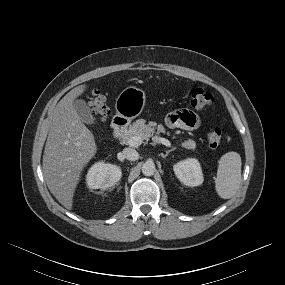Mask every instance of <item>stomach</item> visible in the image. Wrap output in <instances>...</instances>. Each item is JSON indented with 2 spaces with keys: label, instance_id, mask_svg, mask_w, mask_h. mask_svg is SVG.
I'll list each match as a JSON object with an SVG mask.
<instances>
[{
  "label": "stomach",
  "instance_id": "1",
  "mask_svg": "<svg viewBox=\"0 0 285 285\" xmlns=\"http://www.w3.org/2000/svg\"><path fill=\"white\" fill-rule=\"evenodd\" d=\"M145 103V92L137 87L129 86L116 99V114L118 117L130 122L142 113Z\"/></svg>",
  "mask_w": 285,
  "mask_h": 285
}]
</instances>
